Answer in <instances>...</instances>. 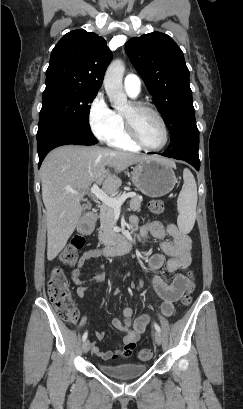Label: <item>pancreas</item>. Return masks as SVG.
I'll return each mask as SVG.
<instances>
[{
    "label": "pancreas",
    "instance_id": "pancreas-1",
    "mask_svg": "<svg viewBox=\"0 0 243 409\" xmlns=\"http://www.w3.org/2000/svg\"><path fill=\"white\" fill-rule=\"evenodd\" d=\"M124 193L118 194L115 198H119L122 196ZM142 197L140 195H135L132 197L130 201V208L132 211H140L141 208V203H142ZM114 215H115V210L112 207H109L105 204L101 206L100 209V227H99V232H98V239L99 242L102 244H110L114 241V232H113V227H114Z\"/></svg>",
    "mask_w": 243,
    "mask_h": 409
}]
</instances>
